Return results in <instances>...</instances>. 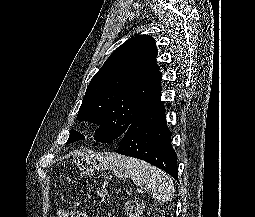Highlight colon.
I'll use <instances>...</instances> for the list:
<instances>
[{
    "label": "colon",
    "mask_w": 255,
    "mask_h": 217,
    "mask_svg": "<svg viewBox=\"0 0 255 217\" xmlns=\"http://www.w3.org/2000/svg\"><path fill=\"white\" fill-rule=\"evenodd\" d=\"M125 209L127 217H142L143 203L138 199H133L126 203ZM57 217H70V214L61 209L58 211Z\"/></svg>",
    "instance_id": "obj_1"
}]
</instances>
